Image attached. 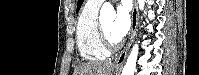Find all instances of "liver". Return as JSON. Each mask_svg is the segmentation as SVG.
I'll use <instances>...</instances> for the list:
<instances>
[{
	"label": "liver",
	"mask_w": 199,
	"mask_h": 75,
	"mask_svg": "<svg viewBox=\"0 0 199 75\" xmlns=\"http://www.w3.org/2000/svg\"><path fill=\"white\" fill-rule=\"evenodd\" d=\"M111 63L88 62L77 66L73 75H112Z\"/></svg>",
	"instance_id": "liver-1"
}]
</instances>
